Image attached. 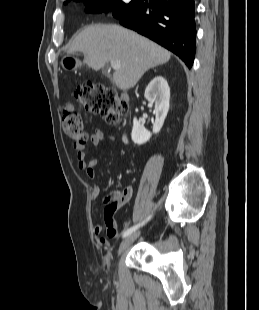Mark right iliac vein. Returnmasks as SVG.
<instances>
[{"label":"right iliac vein","mask_w":259,"mask_h":310,"mask_svg":"<svg viewBox=\"0 0 259 310\" xmlns=\"http://www.w3.org/2000/svg\"><path fill=\"white\" fill-rule=\"evenodd\" d=\"M140 235V231L131 233L127 236L119 247L118 254H121L124 250H126Z\"/></svg>","instance_id":"63e3f726"}]
</instances>
